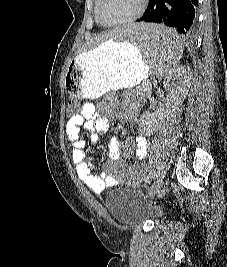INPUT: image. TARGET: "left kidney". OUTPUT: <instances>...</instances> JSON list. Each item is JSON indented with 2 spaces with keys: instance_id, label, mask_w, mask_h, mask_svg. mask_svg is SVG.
<instances>
[{
  "instance_id": "left-kidney-1",
  "label": "left kidney",
  "mask_w": 227,
  "mask_h": 267,
  "mask_svg": "<svg viewBox=\"0 0 227 267\" xmlns=\"http://www.w3.org/2000/svg\"><path fill=\"white\" fill-rule=\"evenodd\" d=\"M192 77L193 73L189 66L178 67L173 72V77H165L163 87L167 92L166 104L152 114L145 112L140 119V127L146 126L147 129L144 131L147 134H153L163 127L166 119L178 110L188 94Z\"/></svg>"
}]
</instances>
